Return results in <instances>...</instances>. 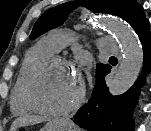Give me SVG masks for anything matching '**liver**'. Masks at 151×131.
Returning a JSON list of instances; mask_svg holds the SVG:
<instances>
[{
  "mask_svg": "<svg viewBox=\"0 0 151 131\" xmlns=\"http://www.w3.org/2000/svg\"><path fill=\"white\" fill-rule=\"evenodd\" d=\"M45 121V118L39 116H21L14 120L10 131H16L19 127L29 124H37Z\"/></svg>",
  "mask_w": 151,
  "mask_h": 131,
  "instance_id": "obj_1",
  "label": "liver"
}]
</instances>
